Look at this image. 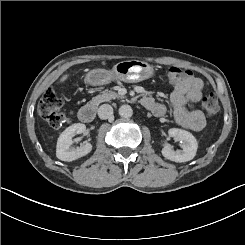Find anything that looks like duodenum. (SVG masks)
Instances as JSON below:
<instances>
[{
    "instance_id": "410a0bca",
    "label": "duodenum",
    "mask_w": 245,
    "mask_h": 245,
    "mask_svg": "<svg viewBox=\"0 0 245 245\" xmlns=\"http://www.w3.org/2000/svg\"><path fill=\"white\" fill-rule=\"evenodd\" d=\"M78 116L82 122H85V123L92 122L96 116L95 107L90 104L84 105L79 110Z\"/></svg>"
}]
</instances>
